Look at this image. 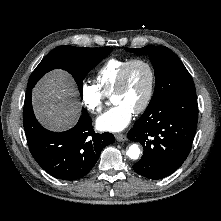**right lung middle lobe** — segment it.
<instances>
[{"label":"right lung middle lobe","mask_w":221,"mask_h":221,"mask_svg":"<svg viewBox=\"0 0 221 221\" xmlns=\"http://www.w3.org/2000/svg\"><path fill=\"white\" fill-rule=\"evenodd\" d=\"M111 51L112 48L108 46L102 48L59 46L39 63L31 74L28 87L33 88L44 74L58 68L68 71L73 76L82 96L84 78Z\"/></svg>","instance_id":"1"}]
</instances>
